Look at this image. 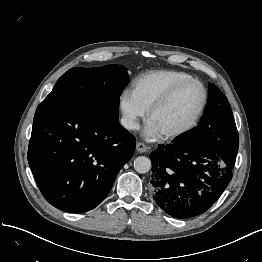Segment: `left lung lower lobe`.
<instances>
[{"mask_svg": "<svg viewBox=\"0 0 262 262\" xmlns=\"http://www.w3.org/2000/svg\"><path fill=\"white\" fill-rule=\"evenodd\" d=\"M238 146V135H222L217 145L180 140L160 145L150 154V183L156 204L179 219L207 211L232 179Z\"/></svg>", "mask_w": 262, "mask_h": 262, "instance_id": "left-lung-lower-lobe-1", "label": "left lung lower lobe"}]
</instances>
